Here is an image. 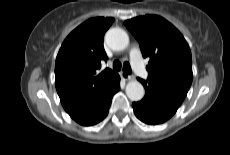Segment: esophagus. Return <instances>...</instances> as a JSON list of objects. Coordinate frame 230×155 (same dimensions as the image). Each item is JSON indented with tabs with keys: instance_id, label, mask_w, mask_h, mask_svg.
<instances>
[{
	"instance_id": "obj_1",
	"label": "esophagus",
	"mask_w": 230,
	"mask_h": 155,
	"mask_svg": "<svg viewBox=\"0 0 230 155\" xmlns=\"http://www.w3.org/2000/svg\"><path fill=\"white\" fill-rule=\"evenodd\" d=\"M122 77L125 79V80H133L135 77L133 75H128L124 72H122Z\"/></svg>"
}]
</instances>
